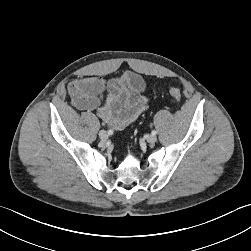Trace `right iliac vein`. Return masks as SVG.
<instances>
[{
	"label": "right iliac vein",
	"instance_id": "right-iliac-vein-1",
	"mask_svg": "<svg viewBox=\"0 0 251 251\" xmlns=\"http://www.w3.org/2000/svg\"><path fill=\"white\" fill-rule=\"evenodd\" d=\"M99 137L101 140H106L108 138V133L105 130L99 132Z\"/></svg>",
	"mask_w": 251,
	"mask_h": 251
}]
</instances>
